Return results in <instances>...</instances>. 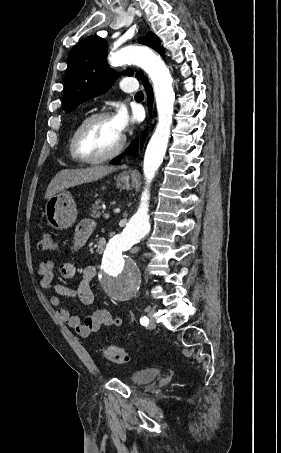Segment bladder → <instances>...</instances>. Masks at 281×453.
Returning a JSON list of instances; mask_svg holds the SVG:
<instances>
[{
    "label": "bladder",
    "instance_id": "obj_1",
    "mask_svg": "<svg viewBox=\"0 0 281 453\" xmlns=\"http://www.w3.org/2000/svg\"><path fill=\"white\" fill-rule=\"evenodd\" d=\"M158 374V369H143L133 373L130 381L134 385H142L151 382Z\"/></svg>",
    "mask_w": 281,
    "mask_h": 453
}]
</instances>
